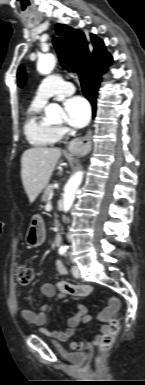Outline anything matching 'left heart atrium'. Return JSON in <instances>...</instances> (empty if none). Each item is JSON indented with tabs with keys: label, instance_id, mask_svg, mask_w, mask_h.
Returning a JSON list of instances; mask_svg holds the SVG:
<instances>
[{
	"label": "left heart atrium",
	"instance_id": "obj_1",
	"mask_svg": "<svg viewBox=\"0 0 145 385\" xmlns=\"http://www.w3.org/2000/svg\"><path fill=\"white\" fill-rule=\"evenodd\" d=\"M66 122L73 128L84 127L90 119V107L81 96H72L64 101Z\"/></svg>",
	"mask_w": 145,
	"mask_h": 385
}]
</instances>
